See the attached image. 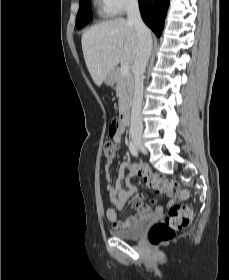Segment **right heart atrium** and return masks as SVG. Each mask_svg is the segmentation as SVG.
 Segmentation results:
<instances>
[{"label": "right heart atrium", "mask_w": 229, "mask_h": 280, "mask_svg": "<svg viewBox=\"0 0 229 280\" xmlns=\"http://www.w3.org/2000/svg\"><path fill=\"white\" fill-rule=\"evenodd\" d=\"M99 4L104 13L110 16H117L135 6L137 0H99Z\"/></svg>", "instance_id": "1"}]
</instances>
